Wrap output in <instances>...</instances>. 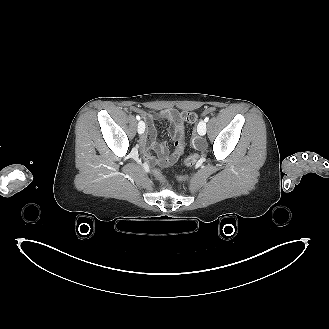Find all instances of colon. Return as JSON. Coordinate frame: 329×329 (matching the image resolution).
Returning <instances> with one entry per match:
<instances>
[{
	"label": "colon",
	"instance_id": "colon-1",
	"mask_svg": "<svg viewBox=\"0 0 329 329\" xmlns=\"http://www.w3.org/2000/svg\"><path fill=\"white\" fill-rule=\"evenodd\" d=\"M181 118H182V120L185 123L193 124V123H195L198 120L199 116L194 111H188V110H186V111H183L181 113ZM195 160H196V157L193 155V156L189 157L186 160L185 164L187 166H190V165L194 164ZM155 175H156V178H159L160 172H155ZM161 175L162 176H165V177H168V174L167 173H164V172H161ZM178 180L179 181H185L186 178L185 177H181ZM162 182L165 184V186H167V190H166L165 196H172L173 198H176V195L174 193H169L170 192V185H168V182L165 180V178H162Z\"/></svg>",
	"mask_w": 329,
	"mask_h": 329
}]
</instances>
